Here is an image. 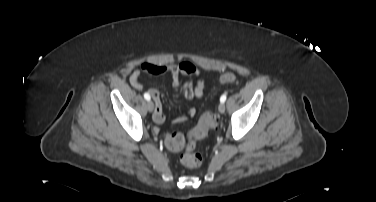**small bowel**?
I'll use <instances>...</instances> for the list:
<instances>
[{"mask_svg":"<svg viewBox=\"0 0 376 202\" xmlns=\"http://www.w3.org/2000/svg\"><path fill=\"white\" fill-rule=\"evenodd\" d=\"M141 74L149 75H162L170 74L172 78V84L175 87L181 86L182 95L186 100L201 99L205 91V82L200 78V71L189 62H181L179 64H157L151 62H144L138 69L132 72L129 81L130 84L136 88L141 89L142 83L140 82ZM186 76L188 79L181 82V77ZM154 102L155 109L153 113V120L157 124L164 122L165 117L163 113V107L161 102L160 91L156 88L149 90ZM196 114V108L193 106L186 107V113L177 116L174 119L175 123L184 122L186 119L193 117Z\"/></svg>","mask_w":376,"mask_h":202,"instance_id":"1","label":"small bowel"}]
</instances>
